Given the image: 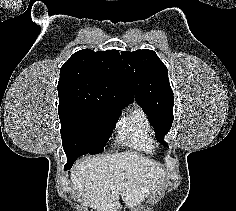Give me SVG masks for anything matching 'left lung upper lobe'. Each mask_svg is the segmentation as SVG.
Here are the masks:
<instances>
[{
  "label": "left lung upper lobe",
  "instance_id": "1",
  "mask_svg": "<svg viewBox=\"0 0 236 211\" xmlns=\"http://www.w3.org/2000/svg\"><path fill=\"white\" fill-rule=\"evenodd\" d=\"M121 56L133 100L148 116L159 142L168 146L163 137L172 126L174 97L167 67L152 50L122 51Z\"/></svg>",
  "mask_w": 236,
  "mask_h": 211
}]
</instances>
